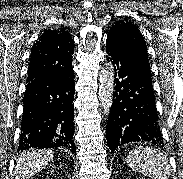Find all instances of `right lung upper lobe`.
Returning <instances> with one entry per match:
<instances>
[{
	"mask_svg": "<svg viewBox=\"0 0 183 179\" xmlns=\"http://www.w3.org/2000/svg\"><path fill=\"white\" fill-rule=\"evenodd\" d=\"M73 53L74 42L68 31L46 30L32 47L28 81L40 76H71Z\"/></svg>",
	"mask_w": 183,
	"mask_h": 179,
	"instance_id": "1",
	"label": "right lung upper lobe"
}]
</instances>
